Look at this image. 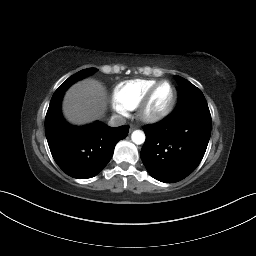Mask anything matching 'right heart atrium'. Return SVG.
Instances as JSON below:
<instances>
[{"label":"right heart atrium","instance_id":"d8ad5b80","mask_svg":"<svg viewBox=\"0 0 256 256\" xmlns=\"http://www.w3.org/2000/svg\"><path fill=\"white\" fill-rule=\"evenodd\" d=\"M116 111H117L120 115H126V114H127L126 110H123V109H121V108H116Z\"/></svg>","mask_w":256,"mask_h":256}]
</instances>
